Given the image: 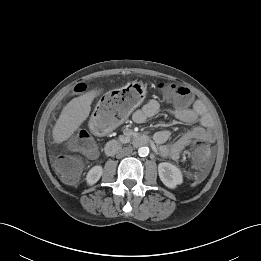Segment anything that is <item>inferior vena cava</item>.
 I'll list each match as a JSON object with an SVG mask.
<instances>
[{"label": "inferior vena cava", "instance_id": "602c4592", "mask_svg": "<svg viewBox=\"0 0 261 261\" xmlns=\"http://www.w3.org/2000/svg\"><path fill=\"white\" fill-rule=\"evenodd\" d=\"M132 151H133L132 147H124L117 152L116 157L122 158L125 156H129L132 153Z\"/></svg>", "mask_w": 261, "mask_h": 261}]
</instances>
